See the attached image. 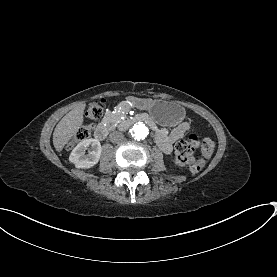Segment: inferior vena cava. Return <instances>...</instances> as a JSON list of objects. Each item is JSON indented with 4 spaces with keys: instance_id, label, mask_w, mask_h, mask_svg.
Wrapping results in <instances>:
<instances>
[{
    "instance_id": "obj_1",
    "label": "inferior vena cava",
    "mask_w": 277,
    "mask_h": 277,
    "mask_svg": "<svg viewBox=\"0 0 277 277\" xmlns=\"http://www.w3.org/2000/svg\"><path fill=\"white\" fill-rule=\"evenodd\" d=\"M123 139H124L123 135L117 131H113L109 134V140L111 142L118 143V142H121Z\"/></svg>"
}]
</instances>
